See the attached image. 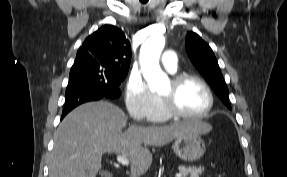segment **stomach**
<instances>
[{
    "mask_svg": "<svg viewBox=\"0 0 287 177\" xmlns=\"http://www.w3.org/2000/svg\"><path fill=\"white\" fill-rule=\"evenodd\" d=\"M173 149L180 159L193 162L203 156L206 148L200 133L190 132L177 137Z\"/></svg>",
    "mask_w": 287,
    "mask_h": 177,
    "instance_id": "0dacf381",
    "label": "stomach"
}]
</instances>
